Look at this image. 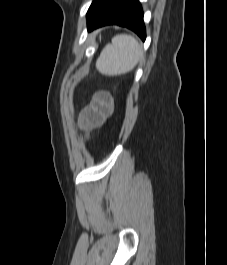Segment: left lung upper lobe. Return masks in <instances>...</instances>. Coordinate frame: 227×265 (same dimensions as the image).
<instances>
[{
	"mask_svg": "<svg viewBox=\"0 0 227 265\" xmlns=\"http://www.w3.org/2000/svg\"><path fill=\"white\" fill-rule=\"evenodd\" d=\"M106 0H93L88 12L87 17L97 10Z\"/></svg>",
	"mask_w": 227,
	"mask_h": 265,
	"instance_id": "5c2ea615",
	"label": "left lung upper lobe"
}]
</instances>
